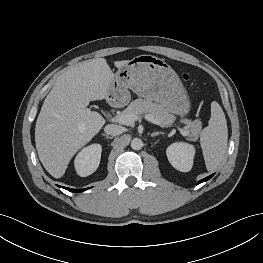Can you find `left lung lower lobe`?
<instances>
[{
  "mask_svg": "<svg viewBox=\"0 0 263 263\" xmlns=\"http://www.w3.org/2000/svg\"><path fill=\"white\" fill-rule=\"evenodd\" d=\"M213 176V174L212 175H210V176H208V177H206V178H204V179H202V180H200V182L199 183H202V182H204V181H207V180H209L211 177Z\"/></svg>",
  "mask_w": 263,
  "mask_h": 263,
  "instance_id": "1",
  "label": "left lung lower lobe"
}]
</instances>
